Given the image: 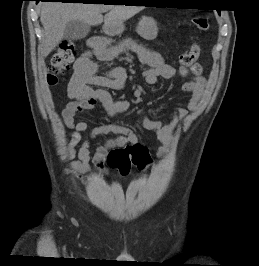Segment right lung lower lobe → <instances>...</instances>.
I'll return each mask as SVG.
<instances>
[{
    "label": "right lung lower lobe",
    "instance_id": "obj_1",
    "mask_svg": "<svg viewBox=\"0 0 259 266\" xmlns=\"http://www.w3.org/2000/svg\"><path fill=\"white\" fill-rule=\"evenodd\" d=\"M36 1V3H38L39 1H46V0H34ZM48 1H61L62 3H64V1H69V0H48ZM86 3V2H84Z\"/></svg>",
    "mask_w": 259,
    "mask_h": 266
}]
</instances>
